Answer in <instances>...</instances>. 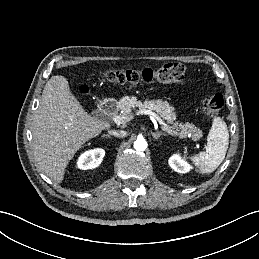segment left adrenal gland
Returning <instances> with one entry per match:
<instances>
[{
	"instance_id": "a2214340",
	"label": "left adrenal gland",
	"mask_w": 259,
	"mask_h": 259,
	"mask_svg": "<svg viewBox=\"0 0 259 259\" xmlns=\"http://www.w3.org/2000/svg\"><path fill=\"white\" fill-rule=\"evenodd\" d=\"M161 135H164L166 136L167 134L166 133H163V132H156V133H152V136L154 139H158Z\"/></svg>"
}]
</instances>
